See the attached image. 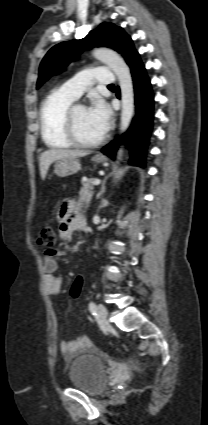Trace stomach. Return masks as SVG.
I'll list each match as a JSON object with an SVG mask.
<instances>
[{
    "mask_svg": "<svg viewBox=\"0 0 208 425\" xmlns=\"http://www.w3.org/2000/svg\"><path fill=\"white\" fill-rule=\"evenodd\" d=\"M92 161L95 163H102L104 158L93 157ZM81 169L79 160L72 158H65L57 160L54 166V173L59 177H67L76 174Z\"/></svg>",
    "mask_w": 208,
    "mask_h": 425,
    "instance_id": "obj_1",
    "label": "stomach"
}]
</instances>
